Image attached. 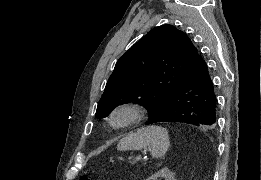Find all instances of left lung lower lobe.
<instances>
[{
    "label": "left lung lower lobe",
    "instance_id": "1",
    "mask_svg": "<svg viewBox=\"0 0 261 180\" xmlns=\"http://www.w3.org/2000/svg\"><path fill=\"white\" fill-rule=\"evenodd\" d=\"M217 117V99L208 67L198 55L171 95L167 110L153 123L183 122L196 126L214 127Z\"/></svg>",
    "mask_w": 261,
    "mask_h": 180
}]
</instances>
